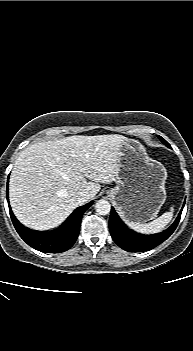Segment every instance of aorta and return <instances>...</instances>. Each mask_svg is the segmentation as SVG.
<instances>
[{"label": "aorta", "instance_id": "obj_1", "mask_svg": "<svg viewBox=\"0 0 193 351\" xmlns=\"http://www.w3.org/2000/svg\"><path fill=\"white\" fill-rule=\"evenodd\" d=\"M95 210L99 215H107L110 213L111 205L107 200L100 199L95 204Z\"/></svg>", "mask_w": 193, "mask_h": 351}]
</instances>
